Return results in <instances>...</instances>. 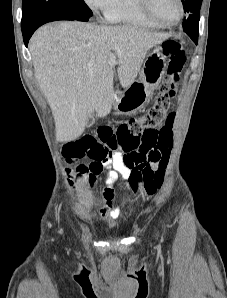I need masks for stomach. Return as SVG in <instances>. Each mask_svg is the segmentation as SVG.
<instances>
[{
	"label": "stomach",
	"instance_id": "0dacf381",
	"mask_svg": "<svg viewBox=\"0 0 227 298\" xmlns=\"http://www.w3.org/2000/svg\"><path fill=\"white\" fill-rule=\"evenodd\" d=\"M165 58L158 50L147 55L139 79L124 91H117L113 100L114 109L120 114H132L148 101L152 91L158 87L165 73Z\"/></svg>",
	"mask_w": 227,
	"mask_h": 298
}]
</instances>
